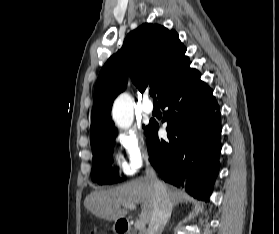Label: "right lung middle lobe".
Returning <instances> with one entry per match:
<instances>
[{"label": "right lung middle lobe", "mask_w": 279, "mask_h": 234, "mask_svg": "<svg viewBox=\"0 0 279 234\" xmlns=\"http://www.w3.org/2000/svg\"><path fill=\"white\" fill-rule=\"evenodd\" d=\"M149 125L145 128V134L149 132ZM117 136V130L111 134L99 139L91 145L93 152V166L91 170V178L93 182L99 184H112L123 179L115 175L111 168V161L114 139Z\"/></svg>", "instance_id": "1"}]
</instances>
